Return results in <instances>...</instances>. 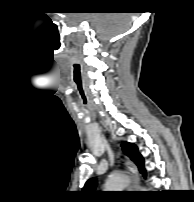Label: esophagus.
Instances as JSON below:
<instances>
[{
  "label": "esophagus",
  "mask_w": 194,
  "mask_h": 202,
  "mask_svg": "<svg viewBox=\"0 0 194 202\" xmlns=\"http://www.w3.org/2000/svg\"><path fill=\"white\" fill-rule=\"evenodd\" d=\"M125 165L132 176L134 185L136 186L138 183V171L135 164L130 159L126 158Z\"/></svg>",
  "instance_id": "1"
}]
</instances>
